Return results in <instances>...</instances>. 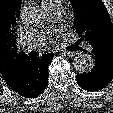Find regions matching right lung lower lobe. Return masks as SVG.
<instances>
[{"label":"right lung lower lobe","mask_w":113,"mask_h":113,"mask_svg":"<svg viewBox=\"0 0 113 113\" xmlns=\"http://www.w3.org/2000/svg\"><path fill=\"white\" fill-rule=\"evenodd\" d=\"M54 57L53 53L31 58L24 62L16 78L8 86L26 98H36L41 95L48 83V66Z\"/></svg>","instance_id":"98d812e1"}]
</instances>
